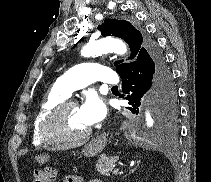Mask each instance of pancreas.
Listing matches in <instances>:
<instances>
[{
	"label": "pancreas",
	"mask_w": 211,
	"mask_h": 182,
	"mask_svg": "<svg viewBox=\"0 0 211 182\" xmlns=\"http://www.w3.org/2000/svg\"><path fill=\"white\" fill-rule=\"evenodd\" d=\"M117 157H106L102 156L101 159L97 161L96 169L101 175L110 176L114 168V163L117 161Z\"/></svg>",
	"instance_id": "1"
}]
</instances>
